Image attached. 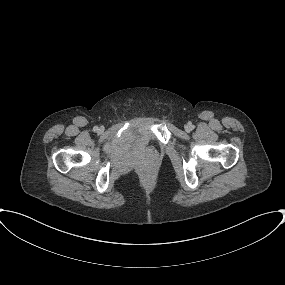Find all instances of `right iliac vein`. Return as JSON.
<instances>
[{
	"instance_id": "1",
	"label": "right iliac vein",
	"mask_w": 285,
	"mask_h": 285,
	"mask_svg": "<svg viewBox=\"0 0 285 285\" xmlns=\"http://www.w3.org/2000/svg\"><path fill=\"white\" fill-rule=\"evenodd\" d=\"M103 131H104V129H103V128H100V129H99V132H103Z\"/></svg>"
}]
</instances>
